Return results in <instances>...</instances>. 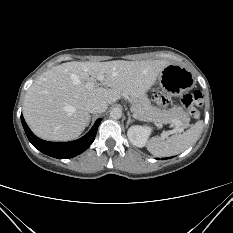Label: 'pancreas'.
<instances>
[{"instance_id":"1","label":"pancreas","mask_w":233,"mask_h":233,"mask_svg":"<svg viewBox=\"0 0 233 233\" xmlns=\"http://www.w3.org/2000/svg\"><path fill=\"white\" fill-rule=\"evenodd\" d=\"M131 111L133 112L135 118L142 121H159V122H173L175 120L180 121L181 117L178 115H173L167 119H163L159 116L156 109L150 106L147 99L144 98H132L131 99ZM187 122L189 118L187 116L183 117ZM181 122V121H180ZM182 127H185L186 124L182 123Z\"/></svg>"}]
</instances>
